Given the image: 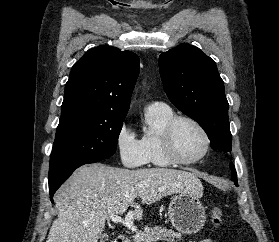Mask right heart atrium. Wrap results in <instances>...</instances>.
Wrapping results in <instances>:
<instances>
[{
  "instance_id": "obj_1",
  "label": "right heart atrium",
  "mask_w": 279,
  "mask_h": 242,
  "mask_svg": "<svg viewBox=\"0 0 279 242\" xmlns=\"http://www.w3.org/2000/svg\"><path fill=\"white\" fill-rule=\"evenodd\" d=\"M115 142L119 158L124 166L137 168L147 163L140 140L126 123L119 127Z\"/></svg>"
}]
</instances>
